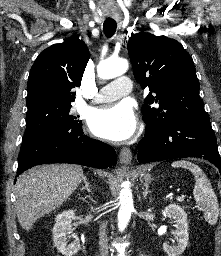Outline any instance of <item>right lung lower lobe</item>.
<instances>
[{"mask_svg":"<svg viewBox=\"0 0 221 256\" xmlns=\"http://www.w3.org/2000/svg\"><path fill=\"white\" fill-rule=\"evenodd\" d=\"M47 163L111 168L116 165L117 156L110 145L84 135L79 123L48 128L22 141L17 176L35 165Z\"/></svg>","mask_w":221,"mask_h":256,"instance_id":"98d812e1","label":"right lung lower lobe"}]
</instances>
